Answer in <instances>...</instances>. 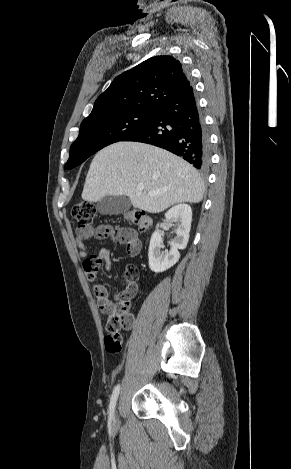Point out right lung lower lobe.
I'll return each mask as SVG.
<instances>
[{
	"mask_svg": "<svg viewBox=\"0 0 291 469\" xmlns=\"http://www.w3.org/2000/svg\"><path fill=\"white\" fill-rule=\"evenodd\" d=\"M122 141L164 148L202 171L210 164L209 137L192 86L179 89L162 101L149 120Z\"/></svg>",
	"mask_w": 291,
	"mask_h": 469,
	"instance_id": "obj_1",
	"label": "right lung lower lobe"
}]
</instances>
